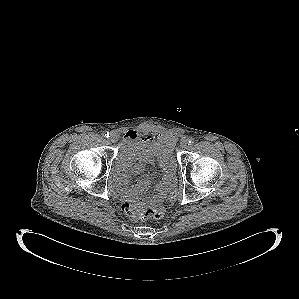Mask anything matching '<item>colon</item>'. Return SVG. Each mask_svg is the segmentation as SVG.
Here are the masks:
<instances>
[{
	"instance_id": "1",
	"label": "colon",
	"mask_w": 299,
	"mask_h": 299,
	"mask_svg": "<svg viewBox=\"0 0 299 299\" xmlns=\"http://www.w3.org/2000/svg\"><path fill=\"white\" fill-rule=\"evenodd\" d=\"M178 192L173 191L169 194L168 199L170 201L176 200ZM123 212L132 219H160L165 214V208L163 206H155L143 209L131 202H125L122 205Z\"/></svg>"
}]
</instances>
